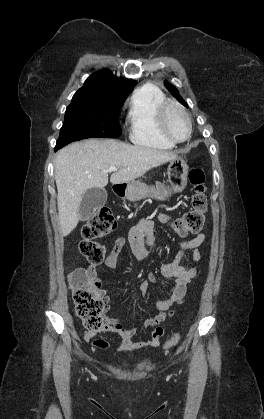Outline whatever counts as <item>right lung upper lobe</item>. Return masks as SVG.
Instances as JSON below:
<instances>
[{
  "label": "right lung upper lobe",
  "mask_w": 264,
  "mask_h": 419,
  "mask_svg": "<svg viewBox=\"0 0 264 419\" xmlns=\"http://www.w3.org/2000/svg\"><path fill=\"white\" fill-rule=\"evenodd\" d=\"M135 85L136 81L118 78L104 69L92 74L79 90L127 97Z\"/></svg>",
  "instance_id": "obj_1"
}]
</instances>
